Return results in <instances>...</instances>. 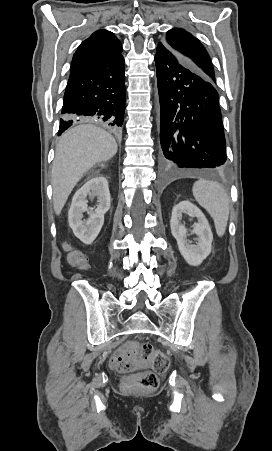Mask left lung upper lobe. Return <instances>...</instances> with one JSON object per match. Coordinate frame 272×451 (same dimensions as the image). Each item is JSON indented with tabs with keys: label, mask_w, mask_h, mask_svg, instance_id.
<instances>
[{
	"label": "left lung upper lobe",
	"mask_w": 272,
	"mask_h": 451,
	"mask_svg": "<svg viewBox=\"0 0 272 451\" xmlns=\"http://www.w3.org/2000/svg\"><path fill=\"white\" fill-rule=\"evenodd\" d=\"M163 42L173 51L186 57L208 80L215 83L210 57L198 39L184 29L174 28L167 32Z\"/></svg>",
	"instance_id": "1"
}]
</instances>
